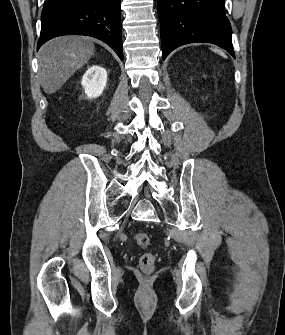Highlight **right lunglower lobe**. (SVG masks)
Here are the masks:
<instances>
[{
  "mask_svg": "<svg viewBox=\"0 0 285 335\" xmlns=\"http://www.w3.org/2000/svg\"><path fill=\"white\" fill-rule=\"evenodd\" d=\"M120 1L45 0L37 49L54 37L86 35L107 43L123 60Z\"/></svg>",
  "mask_w": 285,
  "mask_h": 335,
  "instance_id": "98d812e1",
  "label": "right lung lower lobe"
}]
</instances>
